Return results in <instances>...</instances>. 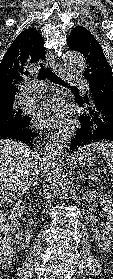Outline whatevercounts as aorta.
<instances>
[{"label": "aorta", "mask_w": 113, "mask_h": 279, "mask_svg": "<svg viewBox=\"0 0 113 279\" xmlns=\"http://www.w3.org/2000/svg\"><path fill=\"white\" fill-rule=\"evenodd\" d=\"M63 58L65 66L72 72H82L86 67L84 57L76 51L64 50ZM78 121L63 128L47 144L43 157V170L51 183L53 191L61 198L67 194L66 176L61 164V154L69 146L76 135Z\"/></svg>", "instance_id": "1"}]
</instances>
